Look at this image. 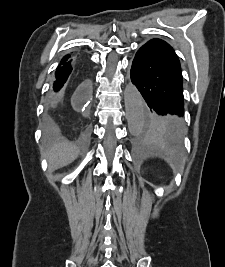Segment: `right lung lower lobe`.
Segmentation results:
<instances>
[{
	"label": "right lung lower lobe",
	"mask_w": 225,
	"mask_h": 267,
	"mask_svg": "<svg viewBox=\"0 0 225 267\" xmlns=\"http://www.w3.org/2000/svg\"><path fill=\"white\" fill-rule=\"evenodd\" d=\"M87 69L85 61L82 57L76 55H66L61 60L56 69L55 81L53 83V92L57 98H61L65 91L74 85L80 78L84 77L83 85L89 87V80L85 77ZM46 131L48 134H53L55 131L54 125L47 126Z\"/></svg>",
	"instance_id": "right-lung-lower-lobe-1"
}]
</instances>
